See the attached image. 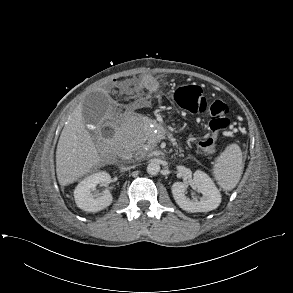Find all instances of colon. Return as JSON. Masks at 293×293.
Here are the masks:
<instances>
[{
  "label": "colon",
  "mask_w": 293,
  "mask_h": 293,
  "mask_svg": "<svg viewBox=\"0 0 293 293\" xmlns=\"http://www.w3.org/2000/svg\"><path fill=\"white\" fill-rule=\"evenodd\" d=\"M130 84L121 83L119 89H127ZM173 98L176 104L192 113V114H208L209 124L208 128L210 134L204 136L200 142V147L209 154L216 152V136L230 125L229 106L221 100L209 101L203 94L202 89L196 85H185L178 87L174 93ZM107 136L112 135V130L107 128L104 130Z\"/></svg>",
  "instance_id": "1"
}]
</instances>
